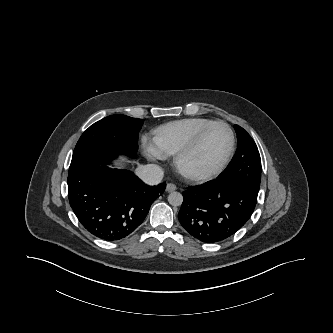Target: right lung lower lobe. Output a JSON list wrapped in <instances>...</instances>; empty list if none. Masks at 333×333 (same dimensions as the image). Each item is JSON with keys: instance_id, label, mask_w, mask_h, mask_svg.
<instances>
[{"instance_id": "1", "label": "right lung lower lobe", "mask_w": 333, "mask_h": 333, "mask_svg": "<svg viewBox=\"0 0 333 333\" xmlns=\"http://www.w3.org/2000/svg\"><path fill=\"white\" fill-rule=\"evenodd\" d=\"M165 187L148 186L131 171L106 164H88L68 174L71 208L87 231L106 241L136 230Z\"/></svg>"}]
</instances>
